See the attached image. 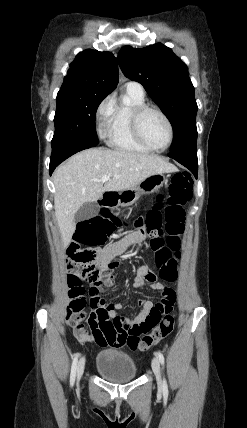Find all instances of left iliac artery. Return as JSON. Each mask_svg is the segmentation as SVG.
Masks as SVG:
<instances>
[{"label":"left iliac artery","instance_id":"1","mask_svg":"<svg viewBox=\"0 0 247 428\" xmlns=\"http://www.w3.org/2000/svg\"><path fill=\"white\" fill-rule=\"evenodd\" d=\"M157 357L159 358L160 363L164 365V355L160 351L157 352ZM163 393L168 394V385L165 379L163 380Z\"/></svg>","mask_w":247,"mask_h":428}]
</instances>
